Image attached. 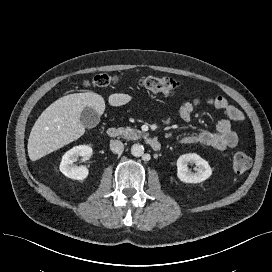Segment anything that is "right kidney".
I'll return each mask as SVG.
<instances>
[{
	"instance_id": "1",
	"label": "right kidney",
	"mask_w": 272,
	"mask_h": 272,
	"mask_svg": "<svg viewBox=\"0 0 272 272\" xmlns=\"http://www.w3.org/2000/svg\"><path fill=\"white\" fill-rule=\"evenodd\" d=\"M92 152L93 150L89 145H79L73 147L63 155L59 166L60 171L66 177L74 180H83L87 178L89 174L87 167L83 165L77 166L74 164V162H76L79 157L91 156Z\"/></svg>"
}]
</instances>
